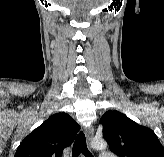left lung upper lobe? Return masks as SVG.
<instances>
[{
    "label": "left lung upper lobe",
    "instance_id": "1",
    "mask_svg": "<svg viewBox=\"0 0 164 157\" xmlns=\"http://www.w3.org/2000/svg\"><path fill=\"white\" fill-rule=\"evenodd\" d=\"M103 137L118 157H164V147L154 131L141 126L119 111L101 117Z\"/></svg>",
    "mask_w": 164,
    "mask_h": 157
}]
</instances>
